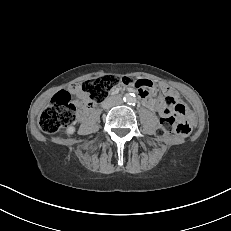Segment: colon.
I'll list each match as a JSON object with an SVG mask.
<instances>
[{
  "label": "colon",
  "mask_w": 231,
  "mask_h": 231,
  "mask_svg": "<svg viewBox=\"0 0 231 231\" xmlns=\"http://www.w3.org/2000/svg\"><path fill=\"white\" fill-rule=\"evenodd\" d=\"M119 85L134 88L144 97L151 94L152 83L146 79L105 75L87 80L81 85L84 94L82 98L72 99L66 91H59L53 96L49 106L39 117L40 128L46 133H54L60 128L71 125L78 110L90 108L103 101L110 91ZM165 100L168 105H175V107L172 113L162 115L157 130L158 135L165 136L170 133H176L180 136L188 135L191 131V125L188 121L187 108L168 96L165 97Z\"/></svg>",
  "instance_id": "5ec220e1"
}]
</instances>
